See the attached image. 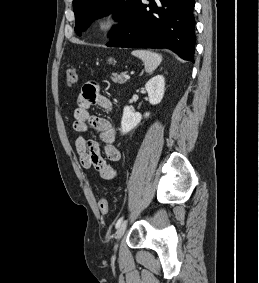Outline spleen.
<instances>
[{
  "mask_svg": "<svg viewBox=\"0 0 259 283\" xmlns=\"http://www.w3.org/2000/svg\"><path fill=\"white\" fill-rule=\"evenodd\" d=\"M132 55L138 57L144 62L145 70L152 73L162 62V56L148 50H134Z\"/></svg>",
  "mask_w": 259,
  "mask_h": 283,
  "instance_id": "3e777b00",
  "label": "spleen"
}]
</instances>
